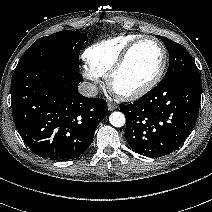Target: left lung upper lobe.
<instances>
[{"mask_svg":"<svg viewBox=\"0 0 212 212\" xmlns=\"http://www.w3.org/2000/svg\"><path fill=\"white\" fill-rule=\"evenodd\" d=\"M157 37L163 41L169 51V68L159 84L166 83L180 74L197 69L189 53L182 45L166 37L158 35Z\"/></svg>","mask_w":212,"mask_h":212,"instance_id":"1","label":"left lung upper lobe"}]
</instances>
